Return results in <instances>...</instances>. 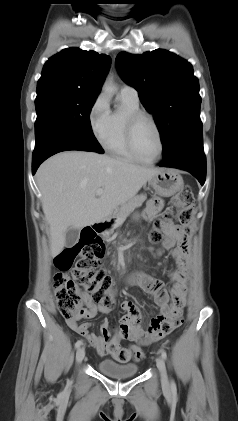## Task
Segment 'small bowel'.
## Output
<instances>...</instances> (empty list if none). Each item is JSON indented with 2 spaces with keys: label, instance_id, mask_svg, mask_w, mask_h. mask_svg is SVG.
Returning <instances> with one entry per match:
<instances>
[{
  "label": "small bowel",
  "instance_id": "obj_1",
  "mask_svg": "<svg viewBox=\"0 0 238 421\" xmlns=\"http://www.w3.org/2000/svg\"><path fill=\"white\" fill-rule=\"evenodd\" d=\"M161 208V200H151L147 204L145 218L151 219ZM164 233L166 238L158 254L161 255L164 250H169L171 257L176 263V269L170 274L171 288L167 289L163 281L145 274H134L129 279L132 285L138 286L151 295L159 307V315L151 320L146 330L141 326L143 315L136 303L131 300L122 302L121 307L126 312V315L122 318L119 328L113 334L109 330L107 319L101 322L98 334L90 332L91 323L79 322L81 318L89 319L95 317L98 313L108 314L111 311V307L96 304L91 300L86 302V309L79 318L67 320L68 326L83 336L101 356L113 355L114 350L120 347V342L124 339L134 342L148 341L171 313L181 311L186 305L190 270L189 241L180 228L171 222L166 223Z\"/></svg>",
  "mask_w": 238,
  "mask_h": 421
}]
</instances>
